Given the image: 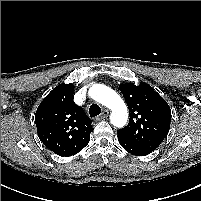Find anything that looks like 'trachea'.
<instances>
[{
    "label": "trachea",
    "instance_id": "3493384b",
    "mask_svg": "<svg viewBox=\"0 0 201 201\" xmlns=\"http://www.w3.org/2000/svg\"><path fill=\"white\" fill-rule=\"evenodd\" d=\"M101 113V108L97 104H92L89 108L90 117H96Z\"/></svg>",
    "mask_w": 201,
    "mask_h": 201
}]
</instances>
